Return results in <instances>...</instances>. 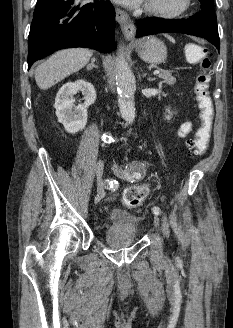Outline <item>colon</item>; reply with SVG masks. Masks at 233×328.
<instances>
[{"label": "colon", "instance_id": "5ec220e1", "mask_svg": "<svg viewBox=\"0 0 233 328\" xmlns=\"http://www.w3.org/2000/svg\"><path fill=\"white\" fill-rule=\"evenodd\" d=\"M187 56L190 60L200 62V72L194 87L200 124L187 146L191 154L202 155L208 148L214 118L213 101L209 92L212 76L211 61L207 51L199 46H190ZM148 194L149 187L147 185L131 186L123 194V203L128 208L137 207Z\"/></svg>", "mask_w": 233, "mask_h": 328}]
</instances>
